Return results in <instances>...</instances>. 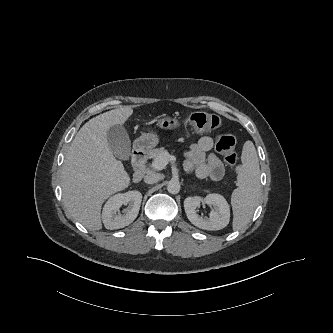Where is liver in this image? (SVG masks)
<instances>
[{"instance_id": "obj_1", "label": "liver", "mask_w": 333, "mask_h": 333, "mask_svg": "<svg viewBox=\"0 0 333 333\" xmlns=\"http://www.w3.org/2000/svg\"><path fill=\"white\" fill-rule=\"evenodd\" d=\"M133 114L130 106L102 113L85 123L73 139L62 167L63 201L69 214L87 229H102L101 207L127 188L130 177L111 152L107 131Z\"/></svg>"}]
</instances>
